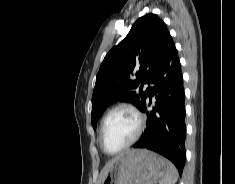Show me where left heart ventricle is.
<instances>
[{
  "label": "left heart ventricle",
  "instance_id": "1",
  "mask_svg": "<svg viewBox=\"0 0 235 184\" xmlns=\"http://www.w3.org/2000/svg\"><path fill=\"white\" fill-rule=\"evenodd\" d=\"M137 119L126 109H121L112 114L103 133L102 142L110 151H116L126 145L135 135Z\"/></svg>",
  "mask_w": 235,
  "mask_h": 184
}]
</instances>
